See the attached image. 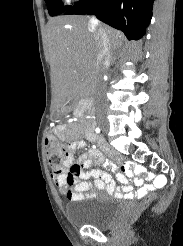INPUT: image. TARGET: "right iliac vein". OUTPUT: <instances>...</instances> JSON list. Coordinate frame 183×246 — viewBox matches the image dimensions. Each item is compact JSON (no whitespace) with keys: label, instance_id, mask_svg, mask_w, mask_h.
<instances>
[{"label":"right iliac vein","instance_id":"right-iliac-vein-1","mask_svg":"<svg viewBox=\"0 0 183 246\" xmlns=\"http://www.w3.org/2000/svg\"><path fill=\"white\" fill-rule=\"evenodd\" d=\"M101 128L104 132L108 131V124L107 123H101Z\"/></svg>","mask_w":183,"mask_h":246}]
</instances>
